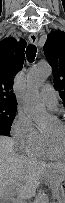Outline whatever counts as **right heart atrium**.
<instances>
[{
    "label": "right heart atrium",
    "mask_w": 65,
    "mask_h": 203,
    "mask_svg": "<svg viewBox=\"0 0 65 203\" xmlns=\"http://www.w3.org/2000/svg\"><path fill=\"white\" fill-rule=\"evenodd\" d=\"M11 135L20 151L28 153L41 139L31 116L25 112H19L11 126Z\"/></svg>",
    "instance_id": "obj_1"
}]
</instances>
